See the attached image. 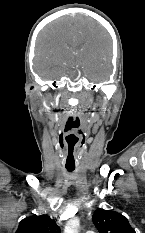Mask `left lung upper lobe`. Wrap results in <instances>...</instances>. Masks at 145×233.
I'll use <instances>...</instances> for the list:
<instances>
[{"mask_svg": "<svg viewBox=\"0 0 145 233\" xmlns=\"http://www.w3.org/2000/svg\"><path fill=\"white\" fill-rule=\"evenodd\" d=\"M92 219L99 233H135L127 218L114 211L98 209Z\"/></svg>", "mask_w": 145, "mask_h": 233, "instance_id": "5c2ea615", "label": "left lung upper lobe"}]
</instances>
